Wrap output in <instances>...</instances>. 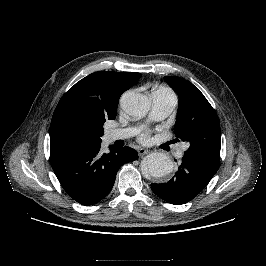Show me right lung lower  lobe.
I'll use <instances>...</instances> for the list:
<instances>
[{"mask_svg": "<svg viewBox=\"0 0 266 266\" xmlns=\"http://www.w3.org/2000/svg\"><path fill=\"white\" fill-rule=\"evenodd\" d=\"M101 142L59 145L50 148L52 168L67 194L78 203H98L111 191L118 169L138 159L136 150L110 146L100 152Z\"/></svg>", "mask_w": 266, "mask_h": 266, "instance_id": "98d812e1", "label": "right lung lower lobe"}]
</instances>
